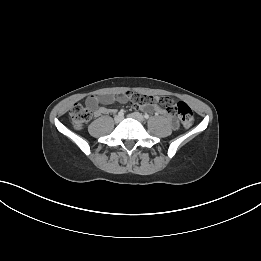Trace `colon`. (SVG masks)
Segmentation results:
<instances>
[{
	"label": "colon",
	"instance_id": "colon-1",
	"mask_svg": "<svg viewBox=\"0 0 261 261\" xmlns=\"http://www.w3.org/2000/svg\"><path fill=\"white\" fill-rule=\"evenodd\" d=\"M162 103L170 113H176L183 127L189 128L194 122V114L191 107L185 102L175 103L170 97H162ZM92 117V112L82 106L75 104L70 111V120L74 128L81 129Z\"/></svg>",
	"mask_w": 261,
	"mask_h": 261
}]
</instances>
